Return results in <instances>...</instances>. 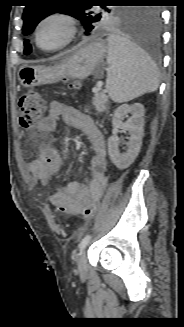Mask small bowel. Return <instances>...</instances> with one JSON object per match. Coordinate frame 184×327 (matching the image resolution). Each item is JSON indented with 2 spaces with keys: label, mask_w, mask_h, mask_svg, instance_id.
<instances>
[{
  "label": "small bowel",
  "mask_w": 184,
  "mask_h": 327,
  "mask_svg": "<svg viewBox=\"0 0 184 327\" xmlns=\"http://www.w3.org/2000/svg\"><path fill=\"white\" fill-rule=\"evenodd\" d=\"M63 121L80 130L93 148L91 159V177L87 181H67L60 185L57 191L49 194V200L54 206H65V214L80 215L83 206L93 205L100 199L107 184V155L104 136L94 121L72 106L59 101L50 102L49 114L37 125L38 134L56 130L58 120ZM60 153L53 147L41 145L39 155L30 163L29 170L36 184L49 186L53 178L59 175L61 169ZM70 170H79L80 159L69 160Z\"/></svg>",
  "instance_id": "c3829d8e"
}]
</instances>
